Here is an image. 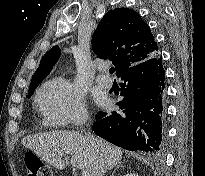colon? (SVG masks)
<instances>
[{
	"instance_id": "colon-1",
	"label": "colon",
	"mask_w": 205,
	"mask_h": 176,
	"mask_svg": "<svg viewBox=\"0 0 205 176\" xmlns=\"http://www.w3.org/2000/svg\"><path fill=\"white\" fill-rule=\"evenodd\" d=\"M27 167V176H52L51 168L33 152H25L23 156Z\"/></svg>"
}]
</instances>
